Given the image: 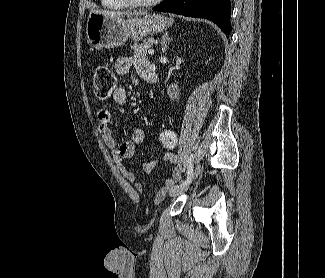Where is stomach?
<instances>
[{
  "instance_id": "stomach-1",
  "label": "stomach",
  "mask_w": 325,
  "mask_h": 278,
  "mask_svg": "<svg viewBox=\"0 0 325 278\" xmlns=\"http://www.w3.org/2000/svg\"><path fill=\"white\" fill-rule=\"evenodd\" d=\"M172 23L173 19L160 14L135 16L125 20L122 17L91 12L86 26L87 41L98 50L115 48L123 45L129 38L139 41L148 34L162 32Z\"/></svg>"
}]
</instances>
